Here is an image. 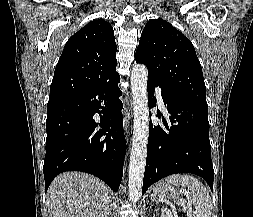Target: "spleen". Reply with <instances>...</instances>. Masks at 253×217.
Returning a JSON list of instances; mask_svg holds the SVG:
<instances>
[{
	"label": "spleen",
	"mask_w": 253,
	"mask_h": 217,
	"mask_svg": "<svg viewBox=\"0 0 253 217\" xmlns=\"http://www.w3.org/2000/svg\"><path fill=\"white\" fill-rule=\"evenodd\" d=\"M168 180L181 187V191H185L183 188L187 187L188 190H191L193 199H191L188 204L194 206L196 210L195 217H211V198L206 189V187L195 177L190 175L175 174L168 178ZM184 203V201H182Z\"/></svg>",
	"instance_id": "3e777b00"
}]
</instances>
